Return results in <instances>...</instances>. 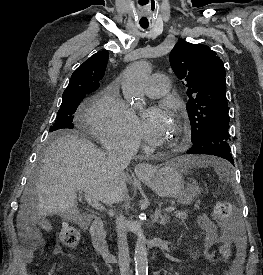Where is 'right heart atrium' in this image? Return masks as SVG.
<instances>
[{
  "instance_id": "right-heart-atrium-1",
  "label": "right heart atrium",
  "mask_w": 263,
  "mask_h": 275,
  "mask_svg": "<svg viewBox=\"0 0 263 275\" xmlns=\"http://www.w3.org/2000/svg\"><path fill=\"white\" fill-rule=\"evenodd\" d=\"M85 120L90 132L107 148L135 151L140 145L134 115L114 89L95 97Z\"/></svg>"
}]
</instances>
